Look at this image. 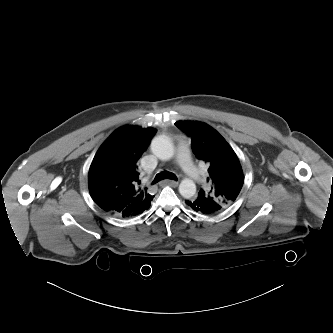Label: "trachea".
<instances>
[{"label": "trachea", "instance_id": "trachea-1", "mask_svg": "<svg viewBox=\"0 0 333 333\" xmlns=\"http://www.w3.org/2000/svg\"><path fill=\"white\" fill-rule=\"evenodd\" d=\"M164 179H171V180L177 181V177L174 173H171L169 171H163V172L158 173L155 176L153 183L154 184L158 183L159 181L164 180Z\"/></svg>", "mask_w": 333, "mask_h": 333}]
</instances>
